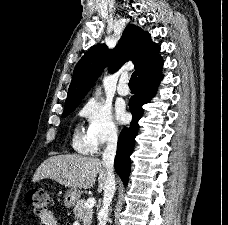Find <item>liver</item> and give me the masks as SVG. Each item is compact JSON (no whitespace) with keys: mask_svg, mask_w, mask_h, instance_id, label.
<instances>
[{"mask_svg":"<svg viewBox=\"0 0 228 225\" xmlns=\"http://www.w3.org/2000/svg\"><path fill=\"white\" fill-rule=\"evenodd\" d=\"M106 173L101 161L95 157L57 155L41 163L33 177V183L41 179H53L69 189H91L99 175L98 191H101L105 185Z\"/></svg>","mask_w":228,"mask_h":225,"instance_id":"liver-1","label":"liver"}]
</instances>
